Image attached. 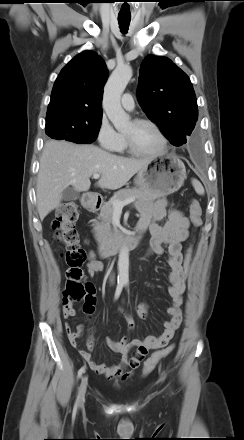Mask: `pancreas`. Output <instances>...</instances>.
<instances>
[{"instance_id": "cf45deb5", "label": "pancreas", "mask_w": 244, "mask_h": 440, "mask_svg": "<svg viewBox=\"0 0 244 440\" xmlns=\"http://www.w3.org/2000/svg\"><path fill=\"white\" fill-rule=\"evenodd\" d=\"M131 197H135L137 202H145L155 205V201L161 196L148 194L141 189H122L114 194V196L101 207L100 214L98 215V220H93V228L95 233V238L100 245H105L112 242L117 234L112 228V219L114 214L113 201H125Z\"/></svg>"}]
</instances>
